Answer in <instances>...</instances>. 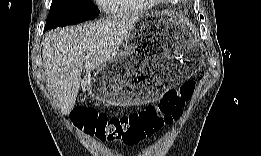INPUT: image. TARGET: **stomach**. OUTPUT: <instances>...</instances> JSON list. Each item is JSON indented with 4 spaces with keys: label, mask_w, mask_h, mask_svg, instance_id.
<instances>
[{
    "label": "stomach",
    "mask_w": 261,
    "mask_h": 156,
    "mask_svg": "<svg viewBox=\"0 0 261 156\" xmlns=\"http://www.w3.org/2000/svg\"><path fill=\"white\" fill-rule=\"evenodd\" d=\"M154 40L156 54L138 64V46ZM199 63L192 28L178 14L166 11L140 17L125 38L124 50L93 70L82 87L107 105L146 104L192 76Z\"/></svg>",
    "instance_id": "obj_1"
}]
</instances>
